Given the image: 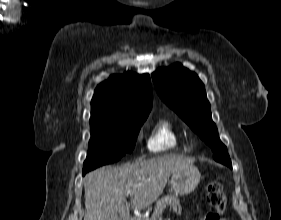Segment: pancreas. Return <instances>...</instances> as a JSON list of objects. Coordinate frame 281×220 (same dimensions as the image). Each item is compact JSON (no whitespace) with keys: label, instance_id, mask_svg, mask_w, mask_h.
<instances>
[{"label":"pancreas","instance_id":"1","mask_svg":"<svg viewBox=\"0 0 281 220\" xmlns=\"http://www.w3.org/2000/svg\"><path fill=\"white\" fill-rule=\"evenodd\" d=\"M167 206H170L176 213H181L182 208L179 198L176 195H166L157 201L150 220H161L162 212Z\"/></svg>","mask_w":281,"mask_h":220}]
</instances>
